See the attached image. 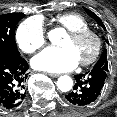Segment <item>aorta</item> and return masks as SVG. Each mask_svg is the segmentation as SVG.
<instances>
[{"label":"aorta","mask_w":117,"mask_h":117,"mask_svg":"<svg viewBox=\"0 0 117 117\" xmlns=\"http://www.w3.org/2000/svg\"><path fill=\"white\" fill-rule=\"evenodd\" d=\"M62 34H63V30L61 28H56L49 32L48 37H49V40L53 44H56L58 39L62 36ZM57 87L62 92L70 91L73 87L72 78L67 75L59 77V79L57 81Z\"/></svg>","instance_id":"obj_1"}]
</instances>
